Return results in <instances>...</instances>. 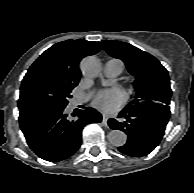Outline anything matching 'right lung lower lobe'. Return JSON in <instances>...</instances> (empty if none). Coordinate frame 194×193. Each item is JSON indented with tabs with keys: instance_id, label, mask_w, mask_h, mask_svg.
Segmentation results:
<instances>
[{
	"instance_id": "obj_1",
	"label": "right lung lower lobe",
	"mask_w": 194,
	"mask_h": 193,
	"mask_svg": "<svg viewBox=\"0 0 194 193\" xmlns=\"http://www.w3.org/2000/svg\"><path fill=\"white\" fill-rule=\"evenodd\" d=\"M102 116L86 108L70 121L65 108L22 110L19 123L29 147L40 158L57 162L73 155L81 144L82 129L89 123H99Z\"/></svg>"
}]
</instances>
